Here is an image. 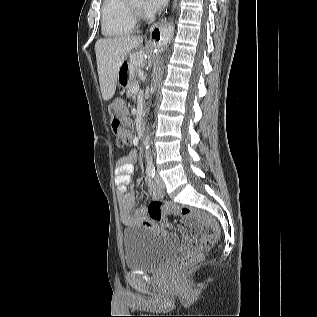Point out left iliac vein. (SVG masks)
<instances>
[{"instance_id":"obj_1","label":"left iliac vein","mask_w":317,"mask_h":317,"mask_svg":"<svg viewBox=\"0 0 317 317\" xmlns=\"http://www.w3.org/2000/svg\"><path fill=\"white\" fill-rule=\"evenodd\" d=\"M156 185L159 187V188H164V182H163V179L157 174L156 176Z\"/></svg>"}]
</instances>
